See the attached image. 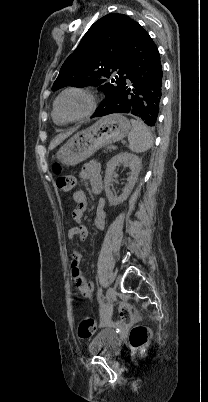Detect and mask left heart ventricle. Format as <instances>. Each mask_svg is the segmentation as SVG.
<instances>
[{
	"mask_svg": "<svg viewBox=\"0 0 208 402\" xmlns=\"http://www.w3.org/2000/svg\"><path fill=\"white\" fill-rule=\"evenodd\" d=\"M91 106V98L81 92H68L58 102L59 113L66 118H75L86 113Z\"/></svg>",
	"mask_w": 208,
	"mask_h": 402,
	"instance_id": "obj_1",
	"label": "left heart ventricle"
}]
</instances>
